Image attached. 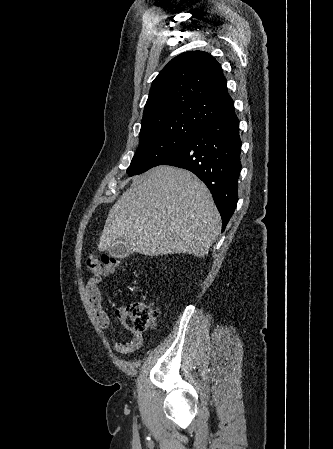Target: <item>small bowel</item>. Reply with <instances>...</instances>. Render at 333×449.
I'll return each mask as SVG.
<instances>
[{"mask_svg":"<svg viewBox=\"0 0 333 449\" xmlns=\"http://www.w3.org/2000/svg\"><path fill=\"white\" fill-rule=\"evenodd\" d=\"M105 274H94L92 275L87 284L86 292L89 300V304L92 308L96 321L102 330L109 329L111 325V320L108 313L104 310L102 306V294L100 291V285L103 282ZM115 315L121 320L125 321L126 308L122 307L115 311ZM132 337L127 342L115 341L113 344V349L120 354H130L139 350L144 343V334L142 331H137L133 327L126 326Z\"/></svg>","mask_w":333,"mask_h":449,"instance_id":"small-bowel-1","label":"small bowel"}]
</instances>
